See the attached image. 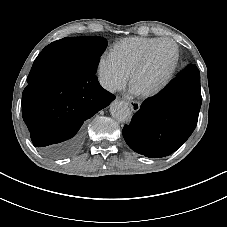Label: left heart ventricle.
I'll use <instances>...</instances> for the list:
<instances>
[{
	"instance_id": "1",
	"label": "left heart ventricle",
	"mask_w": 227,
	"mask_h": 227,
	"mask_svg": "<svg viewBox=\"0 0 227 227\" xmlns=\"http://www.w3.org/2000/svg\"><path fill=\"white\" fill-rule=\"evenodd\" d=\"M176 55L175 46L169 42L159 44L153 51L146 67L134 78L136 92H145L158 85L166 75Z\"/></svg>"
}]
</instances>
